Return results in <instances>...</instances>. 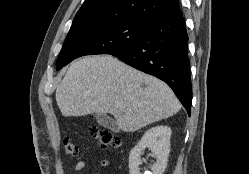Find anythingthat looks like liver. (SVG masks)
I'll return each instance as SVG.
<instances>
[{"mask_svg":"<svg viewBox=\"0 0 249 174\" xmlns=\"http://www.w3.org/2000/svg\"><path fill=\"white\" fill-rule=\"evenodd\" d=\"M56 102L65 117L110 113L124 132H135L181 109L166 83L111 55L73 62L57 87Z\"/></svg>","mask_w":249,"mask_h":174,"instance_id":"6515ba94","label":"liver"}]
</instances>
